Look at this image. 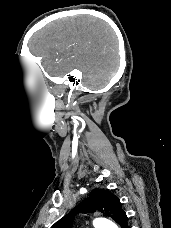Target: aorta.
Instances as JSON below:
<instances>
[{
  "label": "aorta",
  "mask_w": 171,
  "mask_h": 228,
  "mask_svg": "<svg viewBox=\"0 0 171 228\" xmlns=\"http://www.w3.org/2000/svg\"><path fill=\"white\" fill-rule=\"evenodd\" d=\"M93 225L95 228H118L114 222L105 218L95 219Z\"/></svg>",
  "instance_id": "obj_1"
}]
</instances>
